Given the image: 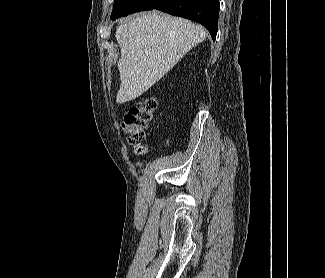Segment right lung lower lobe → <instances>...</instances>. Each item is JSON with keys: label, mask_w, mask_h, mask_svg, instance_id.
Instances as JSON below:
<instances>
[{"label": "right lung lower lobe", "mask_w": 325, "mask_h": 278, "mask_svg": "<svg viewBox=\"0 0 325 278\" xmlns=\"http://www.w3.org/2000/svg\"><path fill=\"white\" fill-rule=\"evenodd\" d=\"M219 8L218 0H135V6L130 13L158 9L175 16L188 18L205 26L215 40Z\"/></svg>", "instance_id": "98d812e1"}]
</instances>
